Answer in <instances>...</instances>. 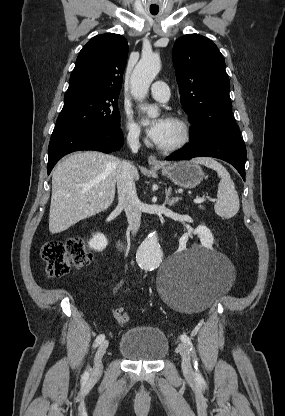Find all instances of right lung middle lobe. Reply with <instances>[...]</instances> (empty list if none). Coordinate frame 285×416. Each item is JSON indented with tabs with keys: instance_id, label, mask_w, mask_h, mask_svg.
<instances>
[{
	"instance_id": "1",
	"label": "right lung middle lobe",
	"mask_w": 285,
	"mask_h": 416,
	"mask_svg": "<svg viewBox=\"0 0 285 416\" xmlns=\"http://www.w3.org/2000/svg\"><path fill=\"white\" fill-rule=\"evenodd\" d=\"M117 100L118 96L79 97L65 95V103L55 128L119 129L120 113Z\"/></svg>"
}]
</instances>
